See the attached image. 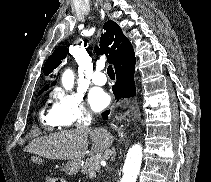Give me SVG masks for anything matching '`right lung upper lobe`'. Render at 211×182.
<instances>
[{
	"label": "right lung upper lobe",
	"instance_id": "1",
	"mask_svg": "<svg viewBox=\"0 0 211 182\" xmlns=\"http://www.w3.org/2000/svg\"><path fill=\"white\" fill-rule=\"evenodd\" d=\"M105 32L102 34L100 39V46L98 48L99 54H105L107 61L112 63L114 66L117 63L119 57L124 52L128 39L123 34L121 28L114 21H107L103 26ZM85 43L84 46H86ZM68 49L65 46H60L53 54L47 59L44 65V74L49 75L67 56ZM54 81L51 85H55ZM49 88V85L44 86V88L39 92H43Z\"/></svg>",
	"mask_w": 211,
	"mask_h": 182
}]
</instances>
